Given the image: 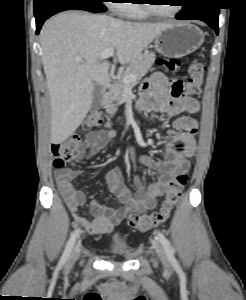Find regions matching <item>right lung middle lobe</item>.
Segmentation results:
<instances>
[{"instance_id": "obj_1", "label": "right lung middle lobe", "mask_w": 246, "mask_h": 300, "mask_svg": "<svg viewBox=\"0 0 246 300\" xmlns=\"http://www.w3.org/2000/svg\"><path fill=\"white\" fill-rule=\"evenodd\" d=\"M46 0H35L34 6H39ZM92 6L105 10V6L102 4V0H87Z\"/></svg>"}]
</instances>
